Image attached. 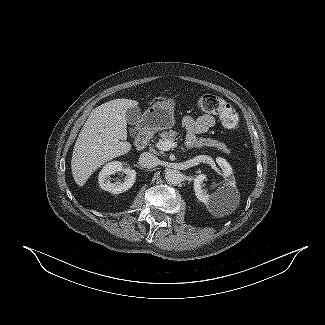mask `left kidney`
Returning <instances> with one entry per match:
<instances>
[{
    "label": "left kidney",
    "instance_id": "1",
    "mask_svg": "<svg viewBox=\"0 0 325 325\" xmlns=\"http://www.w3.org/2000/svg\"><path fill=\"white\" fill-rule=\"evenodd\" d=\"M217 164L220 166L223 172L224 184L222 187L217 189V192L212 194H207V191L203 189V182L206 179V175L199 174L194 179V191L195 195L199 199V201L203 202L207 206H211L212 204L219 201L224 195L227 194H235L237 193L235 177L233 175L232 168L230 164L223 158H216Z\"/></svg>",
    "mask_w": 325,
    "mask_h": 325
}]
</instances>
